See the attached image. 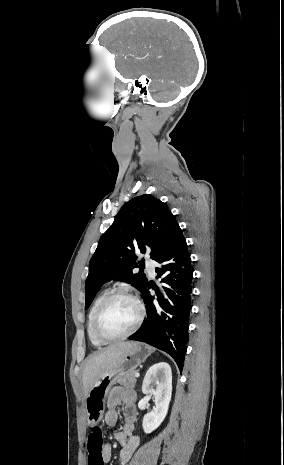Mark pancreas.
<instances>
[{"instance_id": "pancreas-1", "label": "pancreas", "mask_w": 284, "mask_h": 465, "mask_svg": "<svg viewBox=\"0 0 284 465\" xmlns=\"http://www.w3.org/2000/svg\"><path fill=\"white\" fill-rule=\"evenodd\" d=\"M135 373L136 371H132V373L118 375L117 383H119V385H123L124 389H134L136 383Z\"/></svg>"}]
</instances>
